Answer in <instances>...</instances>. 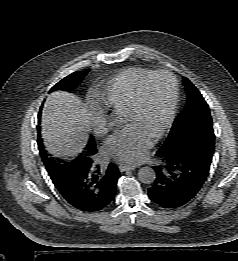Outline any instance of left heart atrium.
<instances>
[{"mask_svg": "<svg viewBox=\"0 0 238 261\" xmlns=\"http://www.w3.org/2000/svg\"><path fill=\"white\" fill-rule=\"evenodd\" d=\"M153 137L138 126H127L106 141L105 150L112 158L129 163H138L152 146Z\"/></svg>", "mask_w": 238, "mask_h": 261, "instance_id": "39dd6f15", "label": "left heart atrium"}]
</instances>
